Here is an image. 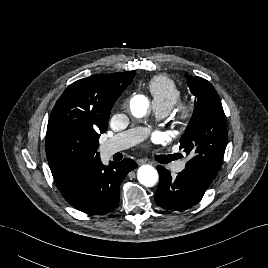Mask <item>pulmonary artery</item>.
I'll use <instances>...</instances> for the list:
<instances>
[{
    "label": "pulmonary artery",
    "instance_id": "pulmonary-artery-1",
    "mask_svg": "<svg viewBox=\"0 0 268 268\" xmlns=\"http://www.w3.org/2000/svg\"><path fill=\"white\" fill-rule=\"evenodd\" d=\"M161 117H165L169 114V111L164 108L154 106ZM146 134V130L143 128H132L125 132L116 134L109 138L103 145L102 151L105 155H111L117 151L127 149L136 143H138ZM174 172H181L185 168V162L180 161L172 165Z\"/></svg>",
    "mask_w": 268,
    "mask_h": 268
}]
</instances>
